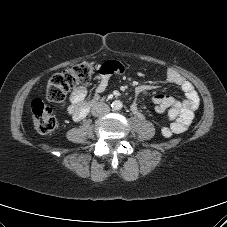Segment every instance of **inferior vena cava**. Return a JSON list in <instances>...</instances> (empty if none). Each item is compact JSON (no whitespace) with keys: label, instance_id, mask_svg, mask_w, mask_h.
I'll use <instances>...</instances> for the list:
<instances>
[{"label":"inferior vena cava","instance_id":"1","mask_svg":"<svg viewBox=\"0 0 227 227\" xmlns=\"http://www.w3.org/2000/svg\"><path fill=\"white\" fill-rule=\"evenodd\" d=\"M109 111L110 107L107 104L98 102L94 104L91 112L94 116H103L109 113Z\"/></svg>","mask_w":227,"mask_h":227}]
</instances>
